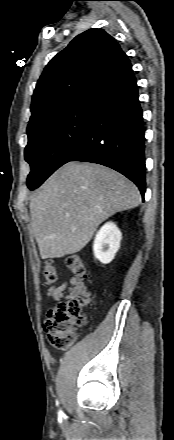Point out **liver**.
<instances>
[{
    "label": "liver",
    "instance_id": "obj_1",
    "mask_svg": "<svg viewBox=\"0 0 174 440\" xmlns=\"http://www.w3.org/2000/svg\"><path fill=\"white\" fill-rule=\"evenodd\" d=\"M140 201L138 188L108 167L75 162L63 165L29 205L41 258L81 251L103 221L137 207Z\"/></svg>",
    "mask_w": 174,
    "mask_h": 440
}]
</instances>
